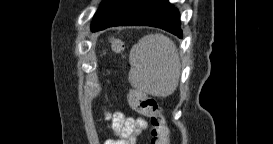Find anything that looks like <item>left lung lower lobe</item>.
Returning <instances> with one entry per match:
<instances>
[{
    "label": "left lung lower lobe",
    "instance_id": "0a47b994",
    "mask_svg": "<svg viewBox=\"0 0 273 144\" xmlns=\"http://www.w3.org/2000/svg\"><path fill=\"white\" fill-rule=\"evenodd\" d=\"M119 25L154 26L182 38L180 14L168 0H104L94 15L92 31Z\"/></svg>",
    "mask_w": 273,
    "mask_h": 144
}]
</instances>
